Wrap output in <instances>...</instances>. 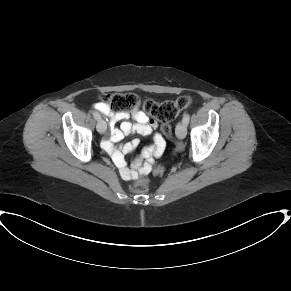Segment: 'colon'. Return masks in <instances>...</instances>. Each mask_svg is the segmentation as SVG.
Masks as SVG:
<instances>
[{
    "label": "colon",
    "mask_w": 291,
    "mask_h": 291,
    "mask_svg": "<svg viewBox=\"0 0 291 291\" xmlns=\"http://www.w3.org/2000/svg\"><path fill=\"white\" fill-rule=\"evenodd\" d=\"M103 103L107 104L112 109L127 110L136 108L139 105L138 98L132 93H115L104 94ZM192 103L189 96H181L176 100H167L160 104L154 101H147L143 104V109L150 115L156 117L162 122V132L166 138L174 139L173 130L169 122L182 110L188 108ZM153 172L156 175H162L165 172V167L157 165ZM149 188V179L142 177L131 182L128 186L129 191L133 193H143Z\"/></svg>",
    "instance_id": "colon-1"
}]
</instances>
